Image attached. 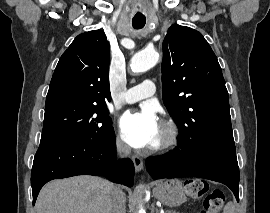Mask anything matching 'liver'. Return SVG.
I'll return each instance as SVG.
<instances>
[{
    "label": "liver",
    "mask_w": 270,
    "mask_h": 213,
    "mask_svg": "<svg viewBox=\"0 0 270 213\" xmlns=\"http://www.w3.org/2000/svg\"><path fill=\"white\" fill-rule=\"evenodd\" d=\"M114 185L96 176H77L46 184L36 201L37 213H109Z\"/></svg>",
    "instance_id": "obj_1"
}]
</instances>
